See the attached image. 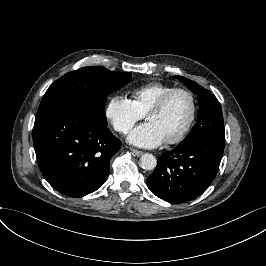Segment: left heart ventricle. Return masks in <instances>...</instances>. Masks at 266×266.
<instances>
[{
    "instance_id": "obj_1",
    "label": "left heart ventricle",
    "mask_w": 266,
    "mask_h": 266,
    "mask_svg": "<svg viewBox=\"0 0 266 266\" xmlns=\"http://www.w3.org/2000/svg\"><path fill=\"white\" fill-rule=\"evenodd\" d=\"M192 105L184 93H176L161 112L151 113L147 122L154 124L164 140L175 138L189 121Z\"/></svg>"
}]
</instances>
